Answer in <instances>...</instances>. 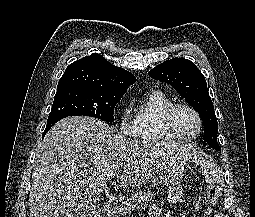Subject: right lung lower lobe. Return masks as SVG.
<instances>
[{"label":"right lung lower lobe","instance_id":"right-lung-lower-lobe-1","mask_svg":"<svg viewBox=\"0 0 255 217\" xmlns=\"http://www.w3.org/2000/svg\"><path fill=\"white\" fill-rule=\"evenodd\" d=\"M63 118H65V117H58V118H56V119H54V120H52V121H50V122H47V126H46V129H45V131H44V133H43V135H42V138H44V136L46 135V133L49 131V129H50L55 123H57L58 121H60V120L63 119Z\"/></svg>","mask_w":255,"mask_h":217}]
</instances>
